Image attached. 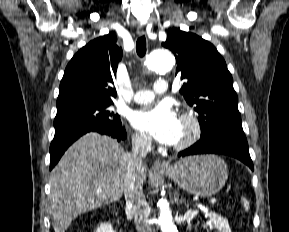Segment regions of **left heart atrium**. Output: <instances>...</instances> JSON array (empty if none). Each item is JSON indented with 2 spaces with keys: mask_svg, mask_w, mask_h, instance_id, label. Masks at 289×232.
<instances>
[{
  "mask_svg": "<svg viewBox=\"0 0 289 232\" xmlns=\"http://www.w3.org/2000/svg\"><path fill=\"white\" fill-rule=\"evenodd\" d=\"M133 126L163 144H176L180 134V120L166 104L135 111Z\"/></svg>",
  "mask_w": 289,
  "mask_h": 232,
  "instance_id": "left-heart-atrium-1",
  "label": "left heart atrium"
}]
</instances>
